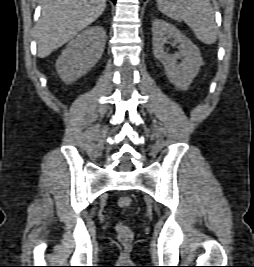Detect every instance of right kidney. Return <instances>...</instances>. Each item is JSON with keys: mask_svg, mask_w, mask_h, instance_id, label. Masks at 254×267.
I'll list each match as a JSON object with an SVG mask.
<instances>
[{"mask_svg": "<svg viewBox=\"0 0 254 267\" xmlns=\"http://www.w3.org/2000/svg\"><path fill=\"white\" fill-rule=\"evenodd\" d=\"M106 43L102 26H92L72 39L56 61L61 79L70 84L86 74L101 58Z\"/></svg>", "mask_w": 254, "mask_h": 267, "instance_id": "ca27d5eb", "label": "right kidney"}]
</instances>
